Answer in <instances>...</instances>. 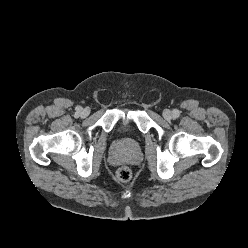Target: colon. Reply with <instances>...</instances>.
<instances>
[{"label":"colon","mask_w":248,"mask_h":248,"mask_svg":"<svg viewBox=\"0 0 248 248\" xmlns=\"http://www.w3.org/2000/svg\"><path fill=\"white\" fill-rule=\"evenodd\" d=\"M132 177V171L129 167H120L116 172V178L120 182H128Z\"/></svg>","instance_id":"colon-1"}]
</instances>
